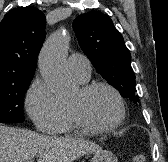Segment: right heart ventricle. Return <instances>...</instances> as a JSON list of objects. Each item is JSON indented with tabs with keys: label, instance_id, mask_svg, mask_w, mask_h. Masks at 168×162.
Listing matches in <instances>:
<instances>
[{
	"label": "right heart ventricle",
	"instance_id": "right-heart-ventricle-1",
	"mask_svg": "<svg viewBox=\"0 0 168 162\" xmlns=\"http://www.w3.org/2000/svg\"><path fill=\"white\" fill-rule=\"evenodd\" d=\"M65 107L67 111L66 121L55 133L59 134L85 133L86 131L76 123L70 110V106Z\"/></svg>",
	"mask_w": 168,
	"mask_h": 162
}]
</instances>
